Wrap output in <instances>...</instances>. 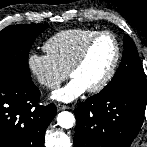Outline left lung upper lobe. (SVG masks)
<instances>
[{
	"instance_id": "obj_1",
	"label": "left lung upper lobe",
	"mask_w": 147,
	"mask_h": 147,
	"mask_svg": "<svg viewBox=\"0 0 147 147\" xmlns=\"http://www.w3.org/2000/svg\"><path fill=\"white\" fill-rule=\"evenodd\" d=\"M139 88L146 90V78L133 40L125 35L122 62L114 77L101 93H107L121 88Z\"/></svg>"
}]
</instances>
